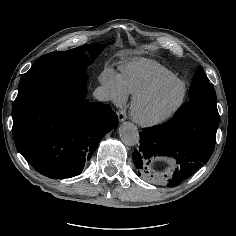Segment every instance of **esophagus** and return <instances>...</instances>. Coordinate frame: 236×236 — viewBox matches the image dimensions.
I'll return each mask as SVG.
<instances>
[{
    "label": "esophagus",
    "instance_id": "34e87169",
    "mask_svg": "<svg viewBox=\"0 0 236 236\" xmlns=\"http://www.w3.org/2000/svg\"><path fill=\"white\" fill-rule=\"evenodd\" d=\"M127 119L126 111L124 109H121L118 111V120L119 122H123Z\"/></svg>",
    "mask_w": 236,
    "mask_h": 236
}]
</instances>
